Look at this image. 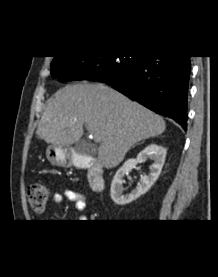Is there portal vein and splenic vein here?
<instances>
[{"label": "portal vein and splenic vein", "instance_id": "18ae733b", "mask_svg": "<svg viewBox=\"0 0 218 277\" xmlns=\"http://www.w3.org/2000/svg\"><path fill=\"white\" fill-rule=\"evenodd\" d=\"M86 129H87L89 132H91V127H90L89 125H86ZM91 134L93 135L94 140H95L96 142H99L98 135L93 134L92 132H91Z\"/></svg>", "mask_w": 218, "mask_h": 277}]
</instances>
